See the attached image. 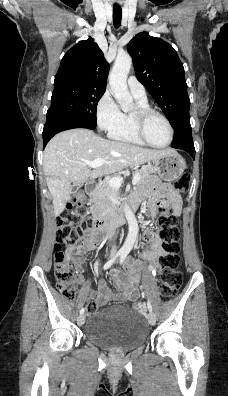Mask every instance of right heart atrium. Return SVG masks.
Returning a JSON list of instances; mask_svg holds the SVG:
<instances>
[{
  "label": "right heart atrium",
  "instance_id": "right-heart-atrium-1",
  "mask_svg": "<svg viewBox=\"0 0 228 396\" xmlns=\"http://www.w3.org/2000/svg\"><path fill=\"white\" fill-rule=\"evenodd\" d=\"M96 121L100 130L111 131L123 119V113L109 91L103 93L96 105Z\"/></svg>",
  "mask_w": 228,
  "mask_h": 396
}]
</instances>
